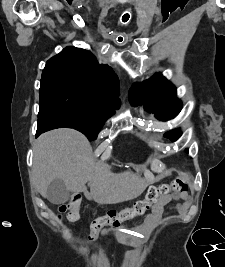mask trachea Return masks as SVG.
<instances>
[{
  "label": "trachea",
  "instance_id": "trachea-1",
  "mask_svg": "<svg viewBox=\"0 0 225 267\" xmlns=\"http://www.w3.org/2000/svg\"><path fill=\"white\" fill-rule=\"evenodd\" d=\"M129 14H124L123 17H122V21L125 23L129 20Z\"/></svg>",
  "mask_w": 225,
  "mask_h": 267
}]
</instances>
